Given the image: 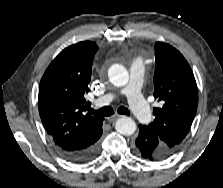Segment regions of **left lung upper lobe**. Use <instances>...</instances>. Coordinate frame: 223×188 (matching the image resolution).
Here are the masks:
<instances>
[{
	"label": "left lung upper lobe",
	"instance_id": "5c2ea615",
	"mask_svg": "<svg viewBox=\"0 0 223 188\" xmlns=\"http://www.w3.org/2000/svg\"><path fill=\"white\" fill-rule=\"evenodd\" d=\"M154 121L147 127L172 154L190 130L198 104L197 84L183 55L174 47L155 44Z\"/></svg>",
	"mask_w": 223,
	"mask_h": 188
}]
</instances>
